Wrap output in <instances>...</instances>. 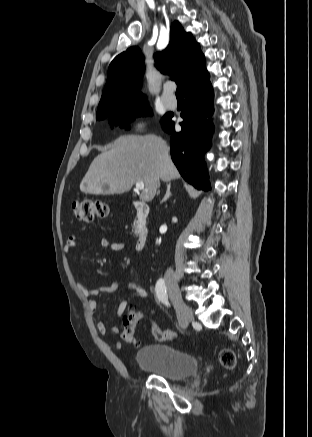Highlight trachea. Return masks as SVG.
<instances>
[{
    "label": "trachea",
    "mask_w": 312,
    "mask_h": 437,
    "mask_svg": "<svg viewBox=\"0 0 312 437\" xmlns=\"http://www.w3.org/2000/svg\"><path fill=\"white\" fill-rule=\"evenodd\" d=\"M183 95H184V92H183V85L180 84V85H178V87H177V90H176V96H177V97H183Z\"/></svg>",
    "instance_id": "trachea-1"
}]
</instances>
